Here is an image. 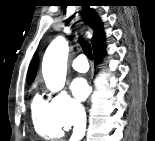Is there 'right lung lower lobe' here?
Instances as JSON below:
<instances>
[{"label": "right lung lower lobe", "mask_w": 155, "mask_h": 141, "mask_svg": "<svg viewBox=\"0 0 155 141\" xmlns=\"http://www.w3.org/2000/svg\"><path fill=\"white\" fill-rule=\"evenodd\" d=\"M103 39H104V34L102 33L99 38L96 40V42L93 44V52H94V57L95 60H98L101 58L104 52L103 48Z\"/></svg>", "instance_id": "98d812e1"}]
</instances>
